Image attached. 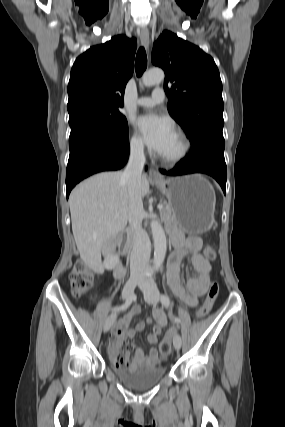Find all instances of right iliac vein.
I'll use <instances>...</instances> for the list:
<instances>
[{"instance_id": "obj_1", "label": "right iliac vein", "mask_w": 285, "mask_h": 427, "mask_svg": "<svg viewBox=\"0 0 285 427\" xmlns=\"http://www.w3.org/2000/svg\"><path fill=\"white\" fill-rule=\"evenodd\" d=\"M140 282H141V281H140V279H130V280L126 283V285H125V287H124V289H123V292H122V298H123V299H128V298L133 294V292H134V290H135L136 286H137ZM115 319H116V313H112V314L107 318V320L105 321V324H104V328H103L104 332H107V331L112 327V325H113V323H114Z\"/></svg>"}]
</instances>
